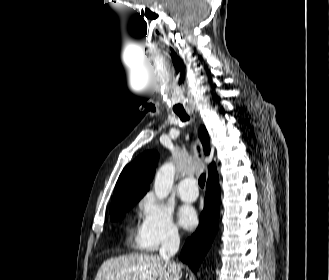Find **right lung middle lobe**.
I'll return each mask as SVG.
<instances>
[{"instance_id":"1","label":"right lung middle lobe","mask_w":329,"mask_h":280,"mask_svg":"<svg viewBox=\"0 0 329 280\" xmlns=\"http://www.w3.org/2000/svg\"><path fill=\"white\" fill-rule=\"evenodd\" d=\"M139 199L124 200L110 209V219L112 221L120 220L124 217L126 210H129Z\"/></svg>"}]
</instances>
